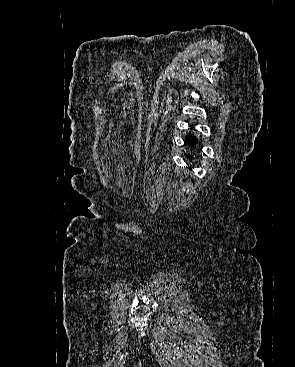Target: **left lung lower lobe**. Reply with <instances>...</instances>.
Wrapping results in <instances>:
<instances>
[{
	"instance_id": "obj_1",
	"label": "left lung lower lobe",
	"mask_w": 295,
	"mask_h": 367,
	"mask_svg": "<svg viewBox=\"0 0 295 367\" xmlns=\"http://www.w3.org/2000/svg\"><path fill=\"white\" fill-rule=\"evenodd\" d=\"M185 141L188 144V147H190L191 149L195 148L198 144L197 138L194 136V134H190V133L187 134V136L185 137ZM186 156L190 157V155H186Z\"/></svg>"
}]
</instances>
